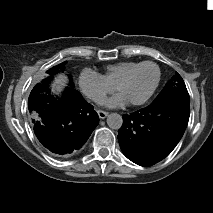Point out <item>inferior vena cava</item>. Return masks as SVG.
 Instances as JSON below:
<instances>
[{
  "mask_svg": "<svg viewBox=\"0 0 213 213\" xmlns=\"http://www.w3.org/2000/svg\"><path fill=\"white\" fill-rule=\"evenodd\" d=\"M92 100L97 104H101V103L104 102V98L102 96H99V95H94L92 97Z\"/></svg>",
  "mask_w": 213,
  "mask_h": 213,
  "instance_id": "obj_1",
  "label": "inferior vena cava"
}]
</instances>
